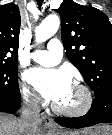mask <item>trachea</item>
<instances>
[{
	"instance_id": "3493384b",
	"label": "trachea",
	"mask_w": 112,
	"mask_h": 135,
	"mask_svg": "<svg viewBox=\"0 0 112 135\" xmlns=\"http://www.w3.org/2000/svg\"><path fill=\"white\" fill-rule=\"evenodd\" d=\"M39 6H42L43 0H37Z\"/></svg>"
}]
</instances>
